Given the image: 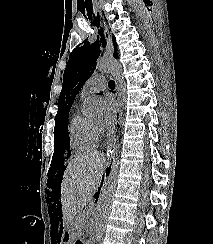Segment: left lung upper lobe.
<instances>
[{"label": "left lung upper lobe", "mask_w": 213, "mask_h": 244, "mask_svg": "<svg viewBox=\"0 0 213 244\" xmlns=\"http://www.w3.org/2000/svg\"><path fill=\"white\" fill-rule=\"evenodd\" d=\"M102 37L100 39L97 37L96 42L93 44H89L85 40L83 45L74 49L70 54L63 74V86L58 101L57 119H61L68 113L76 94L94 72L96 60L100 56V47H104L105 44ZM113 42H115V39ZM114 49V57H117V49L115 47Z\"/></svg>", "instance_id": "5c2ea615"}]
</instances>
